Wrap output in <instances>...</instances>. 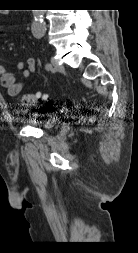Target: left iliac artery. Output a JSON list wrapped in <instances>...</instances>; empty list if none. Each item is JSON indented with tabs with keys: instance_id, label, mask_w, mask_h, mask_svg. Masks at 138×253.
<instances>
[{
	"instance_id": "1",
	"label": "left iliac artery",
	"mask_w": 138,
	"mask_h": 253,
	"mask_svg": "<svg viewBox=\"0 0 138 253\" xmlns=\"http://www.w3.org/2000/svg\"><path fill=\"white\" fill-rule=\"evenodd\" d=\"M45 68H46L47 70H51V69H52V66H51L50 63H47V64L45 65Z\"/></svg>"
}]
</instances>
